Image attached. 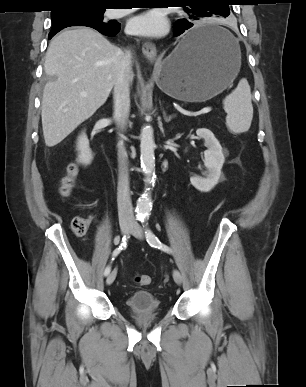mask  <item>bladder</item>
<instances>
[{"mask_svg": "<svg viewBox=\"0 0 306 387\" xmlns=\"http://www.w3.org/2000/svg\"><path fill=\"white\" fill-rule=\"evenodd\" d=\"M125 306L130 314H154L163 312L161 301L149 291H136L125 300Z\"/></svg>", "mask_w": 306, "mask_h": 387, "instance_id": "obj_1", "label": "bladder"}]
</instances>
